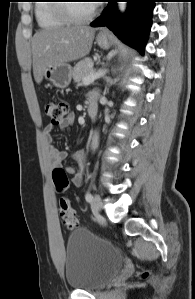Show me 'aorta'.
Segmentation results:
<instances>
[{
  "instance_id": "aorta-1",
  "label": "aorta",
  "mask_w": 195,
  "mask_h": 299,
  "mask_svg": "<svg viewBox=\"0 0 195 299\" xmlns=\"http://www.w3.org/2000/svg\"><path fill=\"white\" fill-rule=\"evenodd\" d=\"M127 8V3L126 2H119L118 3V9L121 13H124L126 11ZM98 144H99V136L98 134L95 132L92 138V149L96 150L98 148Z\"/></svg>"
}]
</instances>
